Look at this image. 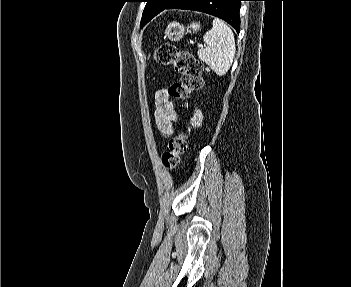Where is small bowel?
Listing matches in <instances>:
<instances>
[{
	"label": "small bowel",
	"mask_w": 351,
	"mask_h": 287,
	"mask_svg": "<svg viewBox=\"0 0 351 287\" xmlns=\"http://www.w3.org/2000/svg\"><path fill=\"white\" fill-rule=\"evenodd\" d=\"M155 103L154 120L157 128L164 137H170L173 133V124L177 119V113L170 105L165 89L156 91ZM191 121L193 125H199L202 121V113L199 110L195 111Z\"/></svg>",
	"instance_id": "1"
}]
</instances>
